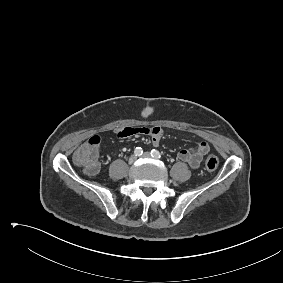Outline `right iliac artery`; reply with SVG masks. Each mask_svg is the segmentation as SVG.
<instances>
[{
	"label": "right iliac artery",
	"instance_id": "1",
	"mask_svg": "<svg viewBox=\"0 0 283 283\" xmlns=\"http://www.w3.org/2000/svg\"><path fill=\"white\" fill-rule=\"evenodd\" d=\"M134 154L136 156H141L143 154V150L141 147H136V149L134 150Z\"/></svg>",
	"mask_w": 283,
	"mask_h": 283
}]
</instances>
